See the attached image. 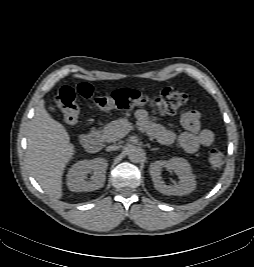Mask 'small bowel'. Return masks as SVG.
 I'll return each mask as SVG.
<instances>
[{
  "label": "small bowel",
  "mask_w": 254,
  "mask_h": 267,
  "mask_svg": "<svg viewBox=\"0 0 254 267\" xmlns=\"http://www.w3.org/2000/svg\"><path fill=\"white\" fill-rule=\"evenodd\" d=\"M136 117L150 137L162 144H171L177 141L188 153H195L200 146H209L214 141L213 132L209 129H202L201 115L195 110H187L181 113L180 122L185 131L180 134L150 121L145 110L137 111Z\"/></svg>",
  "instance_id": "obj_1"
}]
</instances>
